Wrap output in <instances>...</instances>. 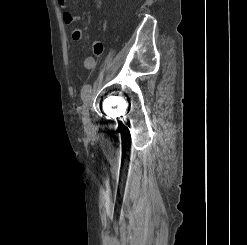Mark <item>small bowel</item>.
<instances>
[{
	"mask_svg": "<svg viewBox=\"0 0 247 245\" xmlns=\"http://www.w3.org/2000/svg\"><path fill=\"white\" fill-rule=\"evenodd\" d=\"M58 1V4L61 6V7H65L66 6V0H57ZM81 17L80 16H75L73 15L72 13L66 11L64 12L63 14V20L66 24L70 25V24H73L74 22L80 20ZM84 37V34H83V31L81 29H74L72 31V39L74 41H81ZM92 50H93V53L95 55H100L101 52H102V45L101 43L99 42H94L93 43V46H92ZM83 66L86 68V69H93L94 66H95V59L92 58V57H88V58H85L83 60Z\"/></svg>",
	"mask_w": 247,
	"mask_h": 245,
	"instance_id": "obj_1",
	"label": "small bowel"
}]
</instances>
